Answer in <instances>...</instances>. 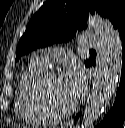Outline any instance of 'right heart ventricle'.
<instances>
[{"label":"right heart ventricle","mask_w":125,"mask_h":128,"mask_svg":"<svg viewBox=\"0 0 125 128\" xmlns=\"http://www.w3.org/2000/svg\"><path fill=\"white\" fill-rule=\"evenodd\" d=\"M43 67L33 60L25 67L19 76L16 90L15 110L20 119L30 124H44L49 119L37 108L31 87Z\"/></svg>","instance_id":"right-heart-ventricle-1"}]
</instances>
